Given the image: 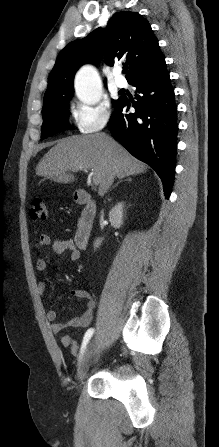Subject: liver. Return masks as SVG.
Here are the masks:
<instances>
[{
	"label": "liver",
	"instance_id": "1",
	"mask_svg": "<svg viewBox=\"0 0 219 447\" xmlns=\"http://www.w3.org/2000/svg\"><path fill=\"white\" fill-rule=\"evenodd\" d=\"M91 169L98 181V194L103 196L114 178H124L146 172L147 165L104 133L73 136L57 141L38 163L36 174L58 183L74 182L68 171Z\"/></svg>",
	"mask_w": 219,
	"mask_h": 447
}]
</instances>
